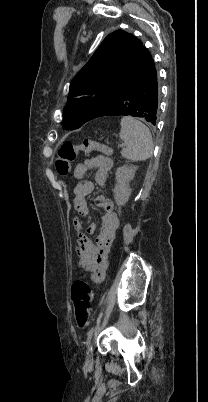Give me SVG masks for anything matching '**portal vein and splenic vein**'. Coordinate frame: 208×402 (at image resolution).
I'll use <instances>...</instances> for the list:
<instances>
[{"instance_id": "obj_1", "label": "portal vein and splenic vein", "mask_w": 208, "mask_h": 402, "mask_svg": "<svg viewBox=\"0 0 208 402\" xmlns=\"http://www.w3.org/2000/svg\"><path fill=\"white\" fill-rule=\"evenodd\" d=\"M120 146H124V144H120Z\"/></svg>"}]
</instances>
